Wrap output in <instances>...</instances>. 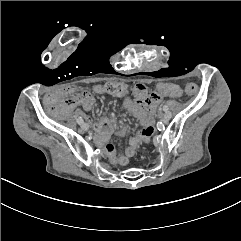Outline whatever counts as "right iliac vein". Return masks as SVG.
I'll return each instance as SVG.
<instances>
[{
  "label": "right iliac vein",
  "instance_id": "right-iliac-vein-1",
  "mask_svg": "<svg viewBox=\"0 0 241 241\" xmlns=\"http://www.w3.org/2000/svg\"><path fill=\"white\" fill-rule=\"evenodd\" d=\"M81 128H82V130L87 131L89 129V126L87 123H82Z\"/></svg>",
  "mask_w": 241,
  "mask_h": 241
}]
</instances>
